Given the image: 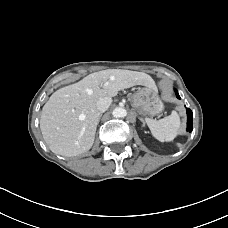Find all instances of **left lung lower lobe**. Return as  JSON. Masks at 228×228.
Listing matches in <instances>:
<instances>
[{
	"mask_svg": "<svg viewBox=\"0 0 228 228\" xmlns=\"http://www.w3.org/2000/svg\"><path fill=\"white\" fill-rule=\"evenodd\" d=\"M175 92H176V96H177V98H179L180 99V97H179V95H178V92H177V90H175ZM187 110V131H192V111L189 109V108H187L186 109Z\"/></svg>",
	"mask_w": 228,
	"mask_h": 228,
	"instance_id": "obj_1",
	"label": "left lung lower lobe"
}]
</instances>
